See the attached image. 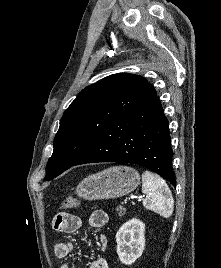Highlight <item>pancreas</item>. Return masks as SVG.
<instances>
[{
	"instance_id": "pancreas-1",
	"label": "pancreas",
	"mask_w": 221,
	"mask_h": 268,
	"mask_svg": "<svg viewBox=\"0 0 221 268\" xmlns=\"http://www.w3.org/2000/svg\"><path fill=\"white\" fill-rule=\"evenodd\" d=\"M116 210H117L118 215H119L120 217H122V216L125 215V212H126V209H125V208H123V207H117Z\"/></svg>"
}]
</instances>
